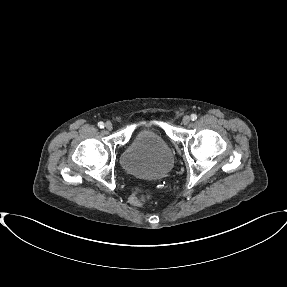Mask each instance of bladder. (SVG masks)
<instances>
[{
  "label": "bladder",
  "mask_w": 287,
  "mask_h": 287,
  "mask_svg": "<svg viewBox=\"0 0 287 287\" xmlns=\"http://www.w3.org/2000/svg\"><path fill=\"white\" fill-rule=\"evenodd\" d=\"M173 163L172 151L154 129L138 131L121 156V164L127 172L145 179L163 178Z\"/></svg>",
  "instance_id": "1"
}]
</instances>
